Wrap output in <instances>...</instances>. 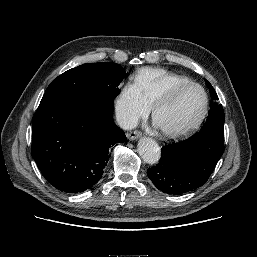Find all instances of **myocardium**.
<instances>
[{
	"label": "myocardium",
	"instance_id": "myocardium-1",
	"mask_svg": "<svg viewBox=\"0 0 257 257\" xmlns=\"http://www.w3.org/2000/svg\"><path fill=\"white\" fill-rule=\"evenodd\" d=\"M192 87L199 88L202 91L203 96H204V106H203L199 116L196 118V120L193 123H191L190 125L180 127V128H176V129H167V128H164L163 126H161V124L158 121V111H159V109L162 106L172 102L174 100V98L181 91H183L185 89H188V88H192ZM209 105H210L209 96H208V93L205 90V88L198 83L188 82V83H183V84H179V85L174 86L168 92H166L163 96L158 98V100L154 103V105L152 107V116H153V119H154L155 123L161 129V132L165 136L175 139V138H180V137L189 135L192 132H194L202 124V122L206 118V116L208 114V111H209Z\"/></svg>",
	"mask_w": 257,
	"mask_h": 257
}]
</instances>
